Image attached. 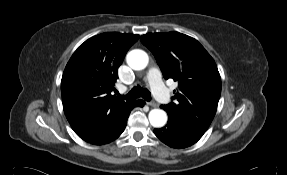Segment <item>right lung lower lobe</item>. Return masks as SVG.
Masks as SVG:
<instances>
[{
    "label": "right lung lower lobe",
    "instance_id": "right-lung-lower-lobe-1",
    "mask_svg": "<svg viewBox=\"0 0 287 175\" xmlns=\"http://www.w3.org/2000/svg\"><path fill=\"white\" fill-rule=\"evenodd\" d=\"M144 104H145V102L143 100H135L131 104V106L127 110L124 111V113L121 115V117L115 123L114 126H112L110 129L106 130L104 133L97 136L96 138H94L90 141H87V142L94 144V145H103V144H107V143L114 141L124 131L126 124H127V119H128V116H129L131 110L134 107H143Z\"/></svg>",
    "mask_w": 287,
    "mask_h": 175
}]
</instances>
